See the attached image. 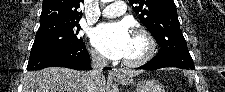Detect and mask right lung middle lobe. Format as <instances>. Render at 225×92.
Returning a JSON list of instances; mask_svg holds the SVG:
<instances>
[{"mask_svg": "<svg viewBox=\"0 0 225 92\" xmlns=\"http://www.w3.org/2000/svg\"><path fill=\"white\" fill-rule=\"evenodd\" d=\"M80 25L78 22H48L40 24L36 33L31 53L52 48L78 46L83 39L78 37Z\"/></svg>", "mask_w": 225, "mask_h": 92, "instance_id": "dd1d6c3e", "label": "right lung middle lobe"}]
</instances>
